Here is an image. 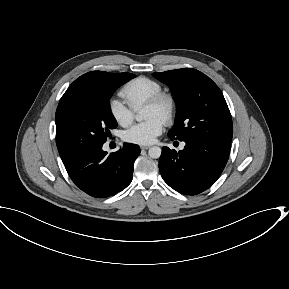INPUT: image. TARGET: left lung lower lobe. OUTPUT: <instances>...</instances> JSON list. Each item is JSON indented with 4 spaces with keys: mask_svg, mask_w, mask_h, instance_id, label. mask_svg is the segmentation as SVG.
Segmentation results:
<instances>
[{
    "mask_svg": "<svg viewBox=\"0 0 289 289\" xmlns=\"http://www.w3.org/2000/svg\"><path fill=\"white\" fill-rule=\"evenodd\" d=\"M174 140V138H172ZM183 150L162 148L159 169L164 181L185 195L208 189L222 173L230 152V142L189 139Z\"/></svg>",
    "mask_w": 289,
    "mask_h": 289,
    "instance_id": "obj_1",
    "label": "left lung lower lobe"
}]
</instances>
